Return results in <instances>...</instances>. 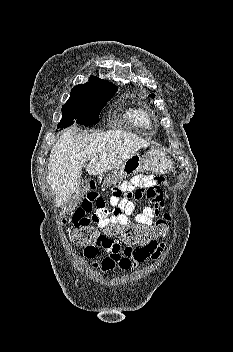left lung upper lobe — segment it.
I'll use <instances>...</instances> for the list:
<instances>
[{
  "instance_id": "1",
  "label": "left lung upper lobe",
  "mask_w": 233,
  "mask_h": 352,
  "mask_svg": "<svg viewBox=\"0 0 233 352\" xmlns=\"http://www.w3.org/2000/svg\"><path fill=\"white\" fill-rule=\"evenodd\" d=\"M150 97H154L155 95L154 94H151V95H149Z\"/></svg>"
}]
</instances>
